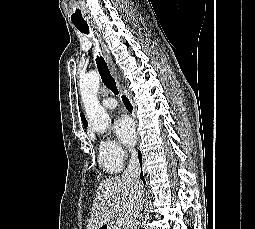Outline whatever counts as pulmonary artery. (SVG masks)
<instances>
[{
  "label": "pulmonary artery",
  "instance_id": "1",
  "mask_svg": "<svg viewBox=\"0 0 255 229\" xmlns=\"http://www.w3.org/2000/svg\"><path fill=\"white\" fill-rule=\"evenodd\" d=\"M102 105L107 109H114L117 103L114 98L107 97L102 100Z\"/></svg>",
  "mask_w": 255,
  "mask_h": 229
}]
</instances>
